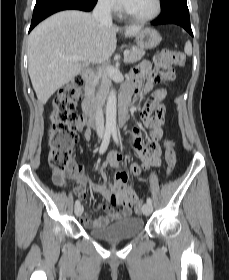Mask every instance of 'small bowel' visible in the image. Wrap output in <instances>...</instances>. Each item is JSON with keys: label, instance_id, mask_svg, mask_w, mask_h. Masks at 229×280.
I'll list each match as a JSON object with an SVG mask.
<instances>
[{"label": "small bowel", "instance_id": "c3829d8e", "mask_svg": "<svg viewBox=\"0 0 229 280\" xmlns=\"http://www.w3.org/2000/svg\"><path fill=\"white\" fill-rule=\"evenodd\" d=\"M150 65L147 62L140 63L130 76V82L123 86V91L130 96L138 93L140 90H148L153 85V79L148 75ZM173 80V79H172ZM170 80V81H172ZM168 81V82H170ZM168 90L166 88L156 90L145 110L142 113L143 120L151 126L148 138L144 141L140 137V126L137 125L133 129L132 144L136 152L143 160V165H132L127 171L120 169L115 174V183L105 182L110 180V175L107 172L108 167H120L123 162V157L119 153H110L100 166V175L104 183L96 184L82 175V167L75 163L70 164L67 173L72 175V179L78 183L75 189V194L81 200L87 198V190L93 193L100 194L110 205H102L101 209L105 212V216L94 219L90 212L83 215V222L88 227H102L107 226L114 220L122 217H127L132 213V204L129 202L131 198L135 197L134 190L127 186L126 183L132 176L139 175L142 170L146 169L155 159L157 151V142L161 138L162 131L160 123L164 118V108L162 101L166 98ZM156 110L155 117L152 116V111ZM157 118V123L154 122ZM84 137L87 141L91 140L92 134L90 130L84 132ZM115 201H111L112 197ZM121 206L120 210H115L114 206Z\"/></svg>", "mask_w": 229, "mask_h": 280}]
</instances>
